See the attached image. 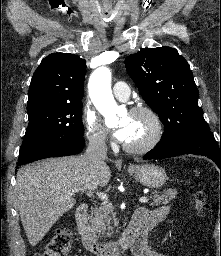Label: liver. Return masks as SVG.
Returning <instances> with one entry per match:
<instances>
[{"label": "liver", "mask_w": 221, "mask_h": 256, "mask_svg": "<svg viewBox=\"0 0 221 256\" xmlns=\"http://www.w3.org/2000/svg\"><path fill=\"white\" fill-rule=\"evenodd\" d=\"M110 168H92L83 155L51 158L17 172L15 203L29 243L36 246L56 221L73 208L72 191L84 193L107 185Z\"/></svg>", "instance_id": "1"}]
</instances>
